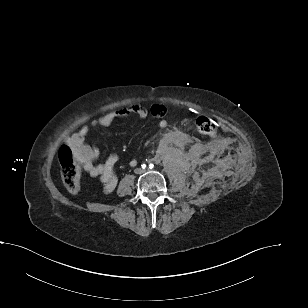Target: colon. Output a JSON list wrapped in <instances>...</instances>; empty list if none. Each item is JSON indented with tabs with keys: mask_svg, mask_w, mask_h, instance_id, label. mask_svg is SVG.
<instances>
[{
	"mask_svg": "<svg viewBox=\"0 0 308 308\" xmlns=\"http://www.w3.org/2000/svg\"><path fill=\"white\" fill-rule=\"evenodd\" d=\"M197 130L207 136L218 135L216 123L207 116H199L195 120ZM58 160L61 168V175L65 187L71 193H78L80 189L81 165L76 159L72 148L64 145L58 152Z\"/></svg>",
	"mask_w": 308,
	"mask_h": 308,
	"instance_id": "colon-1",
	"label": "colon"
}]
</instances>
